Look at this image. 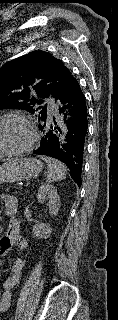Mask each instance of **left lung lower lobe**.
<instances>
[{
    "instance_id": "1",
    "label": "left lung lower lobe",
    "mask_w": 118,
    "mask_h": 320,
    "mask_svg": "<svg viewBox=\"0 0 118 320\" xmlns=\"http://www.w3.org/2000/svg\"><path fill=\"white\" fill-rule=\"evenodd\" d=\"M55 101L60 116L51 120L46 115L39 120L38 127L44 135L34 154L50 156L66 164L72 179L80 186L88 121L85 97L74 77Z\"/></svg>"
}]
</instances>
